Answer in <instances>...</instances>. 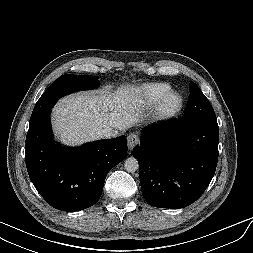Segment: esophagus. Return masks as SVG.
Here are the masks:
<instances>
[{
	"label": "esophagus",
	"mask_w": 253,
	"mask_h": 253,
	"mask_svg": "<svg viewBox=\"0 0 253 253\" xmlns=\"http://www.w3.org/2000/svg\"><path fill=\"white\" fill-rule=\"evenodd\" d=\"M139 143V137L136 133H131L127 137V146L129 150H132Z\"/></svg>",
	"instance_id": "esophagus-1"
}]
</instances>
